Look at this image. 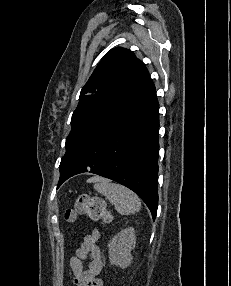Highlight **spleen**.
Wrapping results in <instances>:
<instances>
[{
    "label": "spleen",
    "mask_w": 231,
    "mask_h": 286,
    "mask_svg": "<svg viewBox=\"0 0 231 286\" xmlns=\"http://www.w3.org/2000/svg\"><path fill=\"white\" fill-rule=\"evenodd\" d=\"M94 189L105 196L121 215L133 214L141 209L139 197L123 185L99 179Z\"/></svg>",
    "instance_id": "3e777b00"
}]
</instances>
